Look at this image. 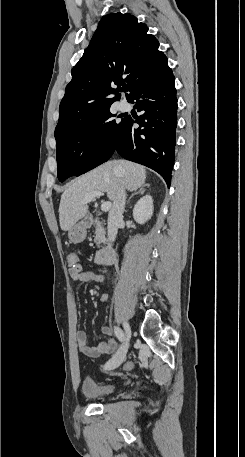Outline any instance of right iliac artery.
Masks as SVG:
<instances>
[{
  "instance_id": "1",
  "label": "right iliac artery",
  "mask_w": 245,
  "mask_h": 457,
  "mask_svg": "<svg viewBox=\"0 0 245 457\" xmlns=\"http://www.w3.org/2000/svg\"><path fill=\"white\" fill-rule=\"evenodd\" d=\"M114 333H115V335H116V337L118 338L119 341L124 342V340H125V334H124V332L121 330V328H119V327H117V326L114 327Z\"/></svg>"
}]
</instances>
